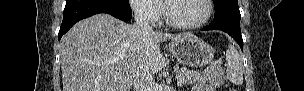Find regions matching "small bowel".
Returning <instances> with one entry per match:
<instances>
[{"label": "small bowel", "instance_id": "small-bowel-1", "mask_svg": "<svg viewBox=\"0 0 304 91\" xmlns=\"http://www.w3.org/2000/svg\"><path fill=\"white\" fill-rule=\"evenodd\" d=\"M194 91H212L213 89L207 85L201 84L196 86L194 89Z\"/></svg>", "mask_w": 304, "mask_h": 91}]
</instances>
